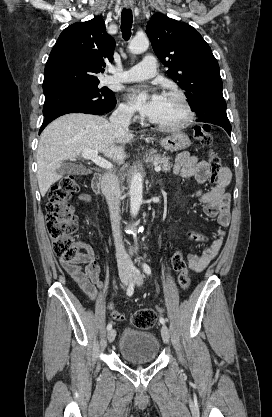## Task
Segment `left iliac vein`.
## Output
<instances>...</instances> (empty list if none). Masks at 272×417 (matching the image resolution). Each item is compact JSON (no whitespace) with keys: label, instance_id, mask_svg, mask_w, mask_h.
Segmentation results:
<instances>
[{"label":"left iliac vein","instance_id":"left-iliac-vein-1","mask_svg":"<svg viewBox=\"0 0 272 417\" xmlns=\"http://www.w3.org/2000/svg\"><path fill=\"white\" fill-rule=\"evenodd\" d=\"M134 276L136 278L137 285L140 286L142 284V282H143V279H142V276H141L140 271L139 270H135ZM161 335H162L163 341L166 344L169 343L170 332H169V329H168V327L166 325H162V327H161Z\"/></svg>","mask_w":272,"mask_h":417}]
</instances>
